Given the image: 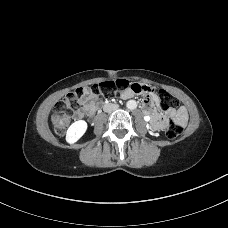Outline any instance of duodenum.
Segmentation results:
<instances>
[{
    "mask_svg": "<svg viewBox=\"0 0 228 228\" xmlns=\"http://www.w3.org/2000/svg\"><path fill=\"white\" fill-rule=\"evenodd\" d=\"M152 123H153V119L151 118V120H150V124L152 125Z\"/></svg>",
    "mask_w": 228,
    "mask_h": 228,
    "instance_id": "410a0bca",
    "label": "duodenum"
}]
</instances>
